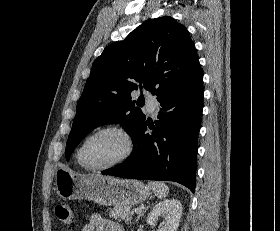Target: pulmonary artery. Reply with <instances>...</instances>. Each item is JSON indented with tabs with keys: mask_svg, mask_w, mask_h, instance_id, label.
Here are the masks:
<instances>
[{
	"mask_svg": "<svg viewBox=\"0 0 280 231\" xmlns=\"http://www.w3.org/2000/svg\"><path fill=\"white\" fill-rule=\"evenodd\" d=\"M146 105H158V101L155 95L151 93H147L145 95ZM148 113H156L157 110H147Z\"/></svg>",
	"mask_w": 280,
	"mask_h": 231,
	"instance_id": "obj_1",
	"label": "pulmonary artery"
}]
</instances>
